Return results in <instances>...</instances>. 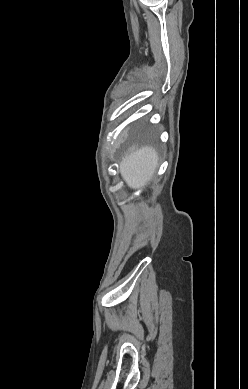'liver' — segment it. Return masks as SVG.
<instances>
[{"instance_id":"6515ba94","label":"liver","mask_w":248,"mask_h":389,"mask_svg":"<svg viewBox=\"0 0 248 389\" xmlns=\"http://www.w3.org/2000/svg\"><path fill=\"white\" fill-rule=\"evenodd\" d=\"M158 160V154L151 146L131 148L122 157L120 173L130 188L140 189L152 180L158 167Z\"/></svg>"}]
</instances>
